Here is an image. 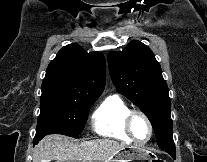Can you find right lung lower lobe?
Here are the masks:
<instances>
[{
	"instance_id": "obj_1",
	"label": "right lung lower lobe",
	"mask_w": 207,
	"mask_h": 162,
	"mask_svg": "<svg viewBox=\"0 0 207 162\" xmlns=\"http://www.w3.org/2000/svg\"><path fill=\"white\" fill-rule=\"evenodd\" d=\"M42 138H34V141H33V145H35L36 143H38Z\"/></svg>"
}]
</instances>
